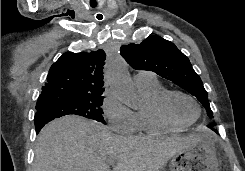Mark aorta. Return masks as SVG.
<instances>
[{
	"label": "aorta",
	"instance_id": "762f6f07",
	"mask_svg": "<svg viewBox=\"0 0 245 171\" xmlns=\"http://www.w3.org/2000/svg\"><path fill=\"white\" fill-rule=\"evenodd\" d=\"M105 81L110 90L128 107L141 106L137 90L130 78L126 62L118 58L105 69Z\"/></svg>",
	"mask_w": 245,
	"mask_h": 171
}]
</instances>
